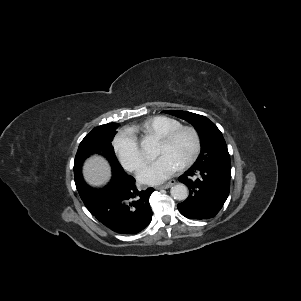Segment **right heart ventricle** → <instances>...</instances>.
<instances>
[{"instance_id": "right-heart-ventricle-1", "label": "right heart ventricle", "mask_w": 301, "mask_h": 301, "mask_svg": "<svg viewBox=\"0 0 301 301\" xmlns=\"http://www.w3.org/2000/svg\"><path fill=\"white\" fill-rule=\"evenodd\" d=\"M182 126L181 122L167 116H155L129 128L134 134L153 135L161 137Z\"/></svg>"}]
</instances>
